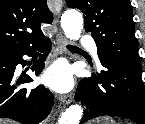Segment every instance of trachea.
I'll list each match as a JSON object with an SVG mask.
<instances>
[{
  "label": "trachea",
  "mask_w": 145,
  "mask_h": 124,
  "mask_svg": "<svg viewBox=\"0 0 145 124\" xmlns=\"http://www.w3.org/2000/svg\"><path fill=\"white\" fill-rule=\"evenodd\" d=\"M68 48H69V49H76V50H78V49H79L78 47L71 46V45H70V46H68Z\"/></svg>",
  "instance_id": "trachea-1"
}]
</instances>
